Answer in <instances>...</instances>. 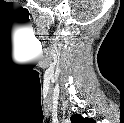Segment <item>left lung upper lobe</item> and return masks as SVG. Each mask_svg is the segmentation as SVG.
<instances>
[{
    "label": "left lung upper lobe",
    "mask_w": 124,
    "mask_h": 123,
    "mask_svg": "<svg viewBox=\"0 0 124 123\" xmlns=\"http://www.w3.org/2000/svg\"><path fill=\"white\" fill-rule=\"evenodd\" d=\"M71 121H72V123H94L93 119H91V118H83L79 114H74L71 117Z\"/></svg>",
    "instance_id": "left-lung-upper-lobe-1"
}]
</instances>
